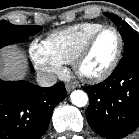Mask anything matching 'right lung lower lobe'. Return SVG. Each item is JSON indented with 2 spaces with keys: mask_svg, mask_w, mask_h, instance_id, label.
<instances>
[{
  "mask_svg": "<svg viewBox=\"0 0 139 139\" xmlns=\"http://www.w3.org/2000/svg\"><path fill=\"white\" fill-rule=\"evenodd\" d=\"M11 43H0V48ZM31 71H34L30 63ZM67 96L62 82L43 88L27 81L0 80V139H39L52 111Z\"/></svg>",
  "mask_w": 139,
  "mask_h": 139,
  "instance_id": "obj_1",
  "label": "right lung lower lobe"
}]
</instances>
